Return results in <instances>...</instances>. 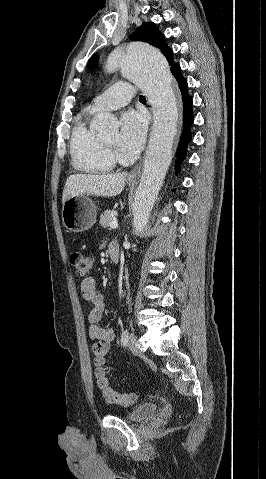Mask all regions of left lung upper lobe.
I'll use <instances>...</instances> for the list:
<instances>
[{"mask_svg": "<svg viewBox=\"0 0 266 479\" xmlns=\"http://www.w3.org/2000/svg\"><path fill=\"white\" fill-rule=\"evenodd\" d=\"M130 39L134 41L147 42L155 47H158L166 56L171 68H174L177 64L172 59V51L165 43L164 35L160 33L154 23L144 22L142 26L138 27L136 31L130 36ZM98 57L92 59V63H96Z\"/></svg>", "mask_w": 266, "mask_h": 479, "instance_id": "1", "label": "left lung upper lobe"}]
</instances>
